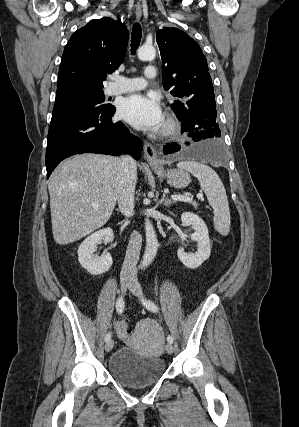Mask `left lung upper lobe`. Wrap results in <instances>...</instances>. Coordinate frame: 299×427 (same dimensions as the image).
Segmentation results:
<instances>
[{"label": "left lung upper lobe", "instance_id": "left-lung-upper-lobe-1", "mask_svg": "<svg viewBox=\"0 0 299 427\" xmlns=\"http://www.w3.org/2000/svg\"><path fill=\"white\" fill-rule=\"evenodd\" d=\"M163 67V86L171 88L176 101L171 105L179 120L186 108L205 106L210 109L213 129L221 132L216 120L214 88L207 60L199 45L184 31L164 27L156 32Z\"/></svg>", "mask_w": 299, "mask_h": 427}]
</instances>
